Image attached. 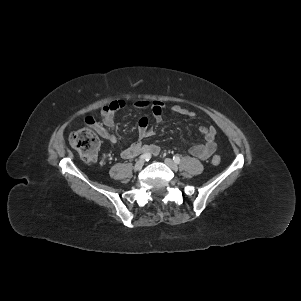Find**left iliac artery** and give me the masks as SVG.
<instances>
[{"label": "left iliac artery", "mask_w": 301, "mask_h": 301, "mask_svg": "<svg viewBox=\"0 0 301 301\" xmlns=\"http://www.w3.org/2000/svg\"><path fill=\"white\" fill-rule=\"evenodd\" d=\"M173 160H174V162L176 163V164H179L180 163V157L179 156H177V155H175V156H173Z\"/></svg>", "instance_id": "left-iliac-artery-1"}]
</instances>
